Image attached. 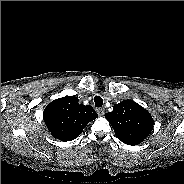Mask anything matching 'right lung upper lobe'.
Segmentation results:
<instances>
[{"instance_id":"obj_1","label":"right lung upper lobe","mask_w":184,"mask_h":184,"mask_svg":"<svg viewBox=\"0 0 184 184\" xmlns=\"http://www.w3.org/2000/svg\"><path fill=\"white\" fill-rule=\"evenodd\" d=\"M75 96L52 101L44 110V122L52 136L61 141L77 138L89 122L98 117L90 105L78 103Z\"/></svg>"}]
</instances>
